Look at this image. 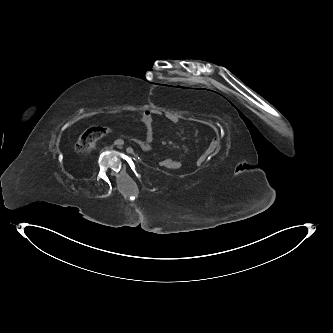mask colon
I'll return each instance as SVG.
<instances>
[{
    "label": "colon",
    "instance_id": "colon-1",
    "mask_svg": "<svg viewBox=\"0 0 333 333\" xmlns=\"http://www.w3.org/2000/svg\"><path fill=\"white\" fill-rule=\"evenodd\" d=\"M110 129L104 126H93L85 130L80 137L78 138L75 148L79 153H88L90 152L96 142L108 134ZM173 163L172 158L167 157L164 159L159 160L158 165L161 168L166 166H171Z\"/></svg>",
    "mask_w": 333,
    "mask_h": 333
}]
</instances>
